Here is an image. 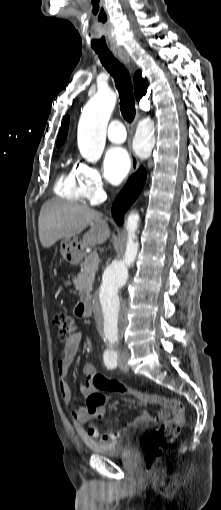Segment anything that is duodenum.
<instances>
[{
  "instance_id": "410a0bca",
  "label": "duodenum",
  "mask_w": 221,
  "mask_h": 510,
  "mask_svg": "<svg viewBox=\"0 0 221 510\" xmlns=\"http://www.w3.org/2000/svg\"><path fill=\"white\" fill-rule=\"evenodd\" d=\"M93 300H85L83 302H80L78 304V312L85 317H90L92 315V308H93Z\"/></svg>"
}]
</instances>
